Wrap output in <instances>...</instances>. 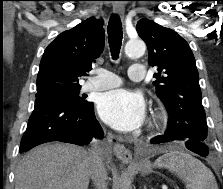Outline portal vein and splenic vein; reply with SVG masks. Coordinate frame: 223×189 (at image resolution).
<instances>
[{
    "mask_svg": "<svg viewBox=\"0 0 223 189\" xmlns=\"http://www.w3.org/2000/svg\"><path fill=\"white\" fill-rule=\"evenodd\" d=\"M162 188H163V189H168L167 186H163Z\"/></svg>",
    "mask_w": 223,
    "mask_h": 189,
    "instance_id": "portal-vein-and-splenic-vein-1",
    "label": "portal vein and splenic vein"
}]
</instances>
